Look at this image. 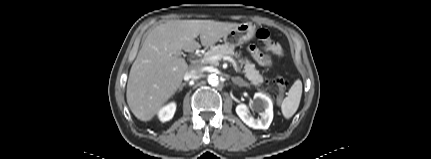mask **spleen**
I'll list each match as a JSON object with an SVG mask.
<instances>
[{"label":"spleen","instance_id":"1","mask_svg":"<svg viewBox=\"0 0 431 159\" xmlns=\"http://www.w3.org/2000/svg\"><path fill=\"white\" fill-rule=\"evenodd\" d=\"M302 95V82L296 80L291 86L287 97L283 100L281 111L286 119L291 118L297 111Z\"/></svg>","mask_w":431,"mask_h":159}]
</instances>
